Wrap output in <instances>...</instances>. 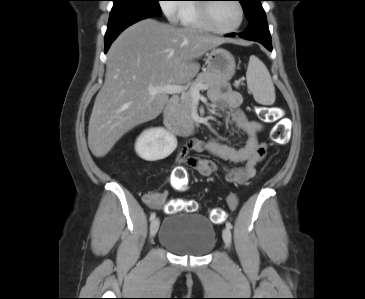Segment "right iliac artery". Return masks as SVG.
I'll return each instance as SVG.
<instances>
[{
	"label": "right iliac artery",
	"instance_id": "1",
	"mask_svg": "<svg viewBox=\"0 0 365 299\" xmlns=\"http://www.w3.org/2000/svg\"><path fill=\"white\" fill-rule=\"evenodd\" d=\"M155 217H156V214L153 212V213H151V215H150V220L151 221H153L154 219H155Z\"/></svg>",
	"mask_w": 365,
	"mask_h": 299
}]
</instances>
